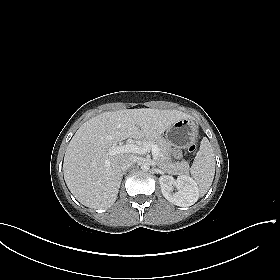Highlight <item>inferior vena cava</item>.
I'll return each mask as SVG.
<instances>
[{
	"label": "inferior vena cava",
	"instance_id": "602c4592",
	"mask_svg": "<svg viewBox=\"0 0 280 280\" xmlns=\"http://www.w3.org/2000/svg\"><path fill=\"white\" fill-rule=\"evenodd\" d=\"M136 156L132 155V154H126L124 155L121 160H120V168L123 171L128 170L130 167H132L134 165V163L136 162Z\"/></svg>",
	"mask_w": 280,
	"mask_h": 280
}]
</instances>
